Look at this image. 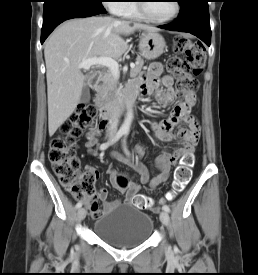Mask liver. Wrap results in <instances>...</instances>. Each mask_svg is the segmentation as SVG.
<instances>
[{
	"label": "liver",
	"instance_id": "1",
	"mask_svg": "<svg viewBox=\"0 0 258 275\" xmlns=\"http://www.w3.org/2000/svg\"><path fill=\"white\" fill-rule=\"evenodd\" d=\"M136 30L157 32L141 23L111 17L71 19L59 26L44 47L48 96V129L52 136L71 116L88 79L79 64L94 57L120 58L127 50L121 35Z\"/></svg>",
	"mask_w": 258,
	"mask_h": 275
}]
</instances>
